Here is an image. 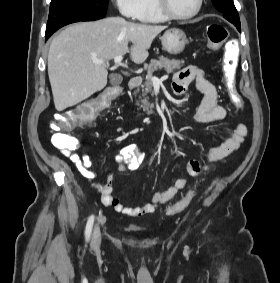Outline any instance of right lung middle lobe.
I'll use <instances>...</instances> for the list:
<instances>
[{
	"mask_svg": "<svg viewBox=\"0 0 280 283\" xmlns=\"http://www.w3.org/2000/svg\"><path fill=\"white\" fill-rule=\"evenodd\" d=\"M108 0H52L47 25L65 20L92 21L106 15Z\"/></svg>",
	"mask_w": 280,
	"mask_h": 283,
	"instance_id": "right-lung-middle-lobe-1",
	"label": "right lung middle lobe"
}]
</instances>
